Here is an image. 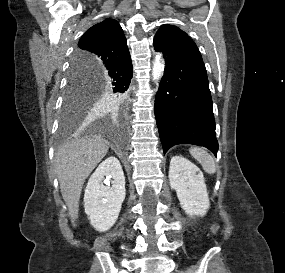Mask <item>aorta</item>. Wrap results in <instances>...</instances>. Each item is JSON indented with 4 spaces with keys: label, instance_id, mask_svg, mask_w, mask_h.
Segmentation results:
<instances>
[{
    "label": "aorta",
    "instance_id": "aorta-1",
    "mask_svg": "<svg viewBox=\"0 0 285 273\" xmlns=\"http://www.w3.org/2000/svg\"><path fill=\"white\" fill-rule=\"evenodd\" d=\"M164 60L161 55H156L152 66V77L154 81H158L164 73Z\"/></svg>",
    "mask_w": 285,
    "mask_h": 273
}]
</instances>
